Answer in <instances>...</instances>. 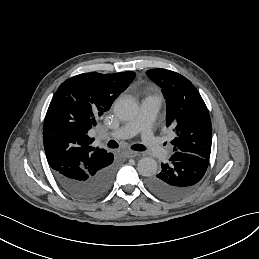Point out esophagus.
Segmentation results:
<instances>
[{
  "instance_id": "34e87169",
  "label": "esophagus",
  "mask_w": 259,
  "mask_h": 259,
  "mask_svg": "<svg viewBox=\"0 0 259 259\" xmlns=\"http://www.w3.org/2000/svg\"><path fill=\"white\" fill-rule=\"evenodd\" d=\"M124 157L126 158H134V157H137L139 155L138 152H134V151H125L123 153Z\"/></svg>"
}]
</instances>
